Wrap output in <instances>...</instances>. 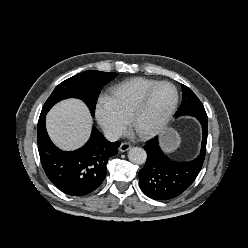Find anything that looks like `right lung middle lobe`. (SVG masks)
<instances>
[{"label": "right lung middle lobe", "instance_id": "right-lung-middle-lobe-1", "mask_svg": "<svg viewBox=\"0 0 248 248\" xmlns=\"http://www.w3.org/2000/svg\"><path fill=\"white\" fill-rule=\"evenodd\" d=\"M116 76L117 73L113 72L88 70L68 78L54 89L41 113H47L54 104L63 99L74 97L83 100L94 116L97 98L103 86Z\"/></svg>", "mask_w": 248, "mask_h": 248}]
</instances>
